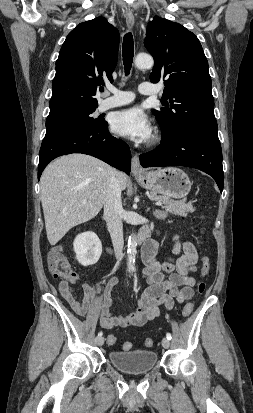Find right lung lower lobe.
<instances>
[{
    "instance_id": "1",
    "label": "right lung lower lobe",
    "mask_w": 253,
    "mask_h": 413,
    "mask_svg": "<svg viewBox=\"0 0 253 413\" xmlns=\"http://www.w3.org/2000/svg\"><path fill=\"white\" fill-rule=\"evenodd\" d=\"M70 153L92 155L126 174L130 173L129 147L125 142L111 136L108 123L105 122L101 128L94 130L65 131L45 136L39 153L38 179L50 161Z\"/></svg>"
}]
</instances>
